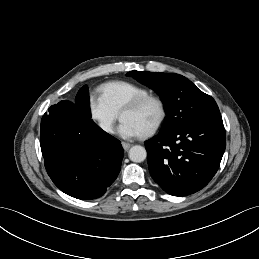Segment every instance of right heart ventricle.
Segmentation results:
<instances>
[{"label":"right heart ventricle","instance_id":"e07e8e85","mask_svg":"<svg viewBox=\"0 0 259 259\" xmlns=\"http://www.w3.org/2000/svg\"><path fill=\"white\" fill-rule=\"evenodd\" d=\"M102 98L119 113L131 100L149 94V91L137 84L127 81H111L100 87Z\"/></svg>","mask_w":259,"mask_h":259}]
</instances>
